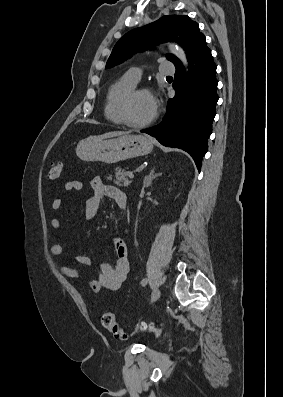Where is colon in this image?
<instances>
[{"label":"colon","mask_w":283,"mask_h":397,"mask_svg":"<svg viewBox=\"0 0 283 397\" xmlns=\"http://www.w3.org/2000/svg\"><path fill=\"white\" fill-rule=\"evenodd\" d=\"M63 166L64 165L62 162L53 163L48 171V179L51 181L59 179L63 170ZM101 323L105 329L112 332L116 337L125 338L126 335L119 326L118 321L112 312H105L101 317ZM142 329L155 331L156 327L154 324H144Z\"/></svg>","instance_id":"1"}]
</instances>
